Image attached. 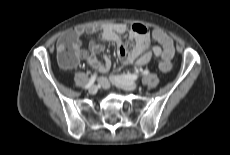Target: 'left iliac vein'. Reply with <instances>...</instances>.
<instances>
[{
	"label": "left iliac vein",
	"instance_id": "left-iliac-vein-1",
	"mask_svg": "<svg viewBox=\"0 0 230 155\" xmlns=\"http://www.w3.org/2000/svg\"><path fill=\"white\" fill-rule=\"evenodd\" d=\"M109 79L112 84L127 91H133L138 88V84L135 81L127 80L121 76L111 75Z\"/></svg>",
	"mask_w": 230,
	"mask_h": 155
}]
</instances>
